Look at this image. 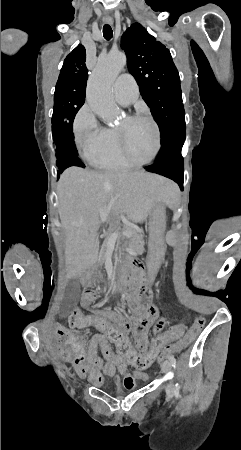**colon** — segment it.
Here are the masks:
<instances>
[{"mask_svg":"<svg viewBox=\"0 0 241 450\" xmlns=\"http://www.w3.org/2000/svg\"><path fill=\"white\" fill-rule=\"evenodd\" d=\"M204 318L197 317L193 324L191 325L187 334L176 342L173 346L170 343L165 344L169 337H174L178 330L184 328V323L182 321H177L175 324H168L167 328L163 331L158 332V336L149 344V350H143L141 354L135 351L133 345L127 342L126 337L121 333L118 327H115L113 323L109 322L106 316L101 314H82L81 310L76 309L70 315L68 325L71 328L78 327L81 329L87 328H97L102 331L104 336L110 340V343L114 346L116 351H119L122 356L127 359L128 366H136L137 371H150L153 360L152 356H157V362L166 361V352L171 354L181 353L187 346H190L196 336L200 333L202 327L204 326ZM165 351H161L160 355H154V352L160 350L161 346L164 345Z\"/></svg>","mask_w":241,"mask_h":450,"instance_id":"5ec220e1","label":"colon"}]
</instances>
